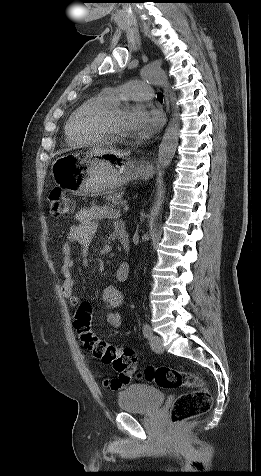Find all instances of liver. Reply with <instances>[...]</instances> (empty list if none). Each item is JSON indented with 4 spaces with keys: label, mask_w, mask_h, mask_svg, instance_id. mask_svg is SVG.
Returning <instances> with one entry per match:
<instances>
[{
    "label": "liver",
    "mask_w": 261,
    "mask_h": 476,
    "mask_svg": "<svg viewBox=\"0 0 261 476\" xmlns=\"http://www.w3.org/2000/svg\"><path fill=\"white\" fill-rule=\"evenodd\" d=\"M91 152H94L96 154H101V155L102 154H111V155H114V156L119 157V158L127 156L126 152H122V151H118V150H114V149L93 148L91 150Z\"/></svg>",
    "instance_id": "obj_1"
}]
</instances>
